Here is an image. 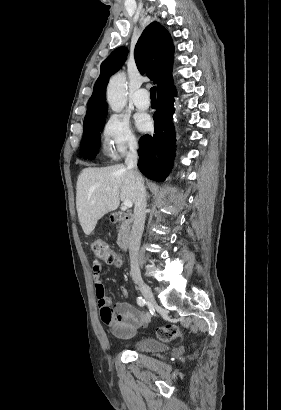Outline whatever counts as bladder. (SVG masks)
<instances>
[{
	"label": "bladder",
	"mask_w": 281,
	"mask_h": 410,
	"mask_svg": "<svg viewBox=\"0 0 281 410\" xmlns=\"http://www.w3.org/2000/svg\"><path fill=\"white\" fill-rule=\"evenodd\" d=\"M134 349L137 352L142 353H155V352H163L167 349L166 345L156 339L150 337H144L138 340L134 344Z\"/></svg>",
	"instance_id": "obj_1"
}]
</instances>
